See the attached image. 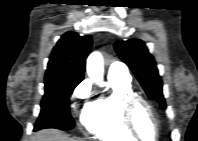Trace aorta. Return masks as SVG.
Instances as JSON below:
<instances>
[{
    "mask_svg": "<svg viewBox=\"0 0 198 141\" xmlns=\"http://www.w3.org/2000/svg\"><path fill=\"white\" fill-rule=\"evenodd\" d=\"M86 71L90 79L100 87L105 86L104 76V60L100 52L91 53L87 59Z\"/></svg>",
    "mask_w": 198,
    "mask_h": 141,
    "instance_id": "762f6f07",
    "label": "aorta"
}]
</instances>
